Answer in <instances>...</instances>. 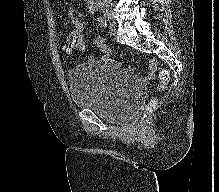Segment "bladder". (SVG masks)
<instances>
[{
    "instance_id": "31cf9c89",
    "label": "bladder",
    "mask_w": 219,
    "mask_h": 192,
    "mask_svg": "<svg viewBox=\"0 0 219 192\" xmlns=\"http://www.w3.org/2000/svg\"><path fill=\"white\" fill-rule=\"evenodd\" d=\"M67 82L73 103L108 122L132 119L142 106V94L127 72L114 63L86 62L72 67Z\"/></svg>"
}]
</instances>
